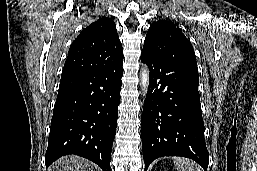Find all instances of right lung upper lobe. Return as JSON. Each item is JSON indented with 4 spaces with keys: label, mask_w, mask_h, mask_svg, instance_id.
I'll use <instances>...</instances> for the list:
<instances>
[{
    "label": "right lung upper lobe",
    "mask_w": 257,
    "mask_h": 171,
    "mask_svg": "<svg viewBox=\"0 0 257 171\" xmlns=\"http://www.w3.org/2000/svg\"><path fill=\"white\" fill-rule=\"evenodd\" d=\"M123 61L116 25L103 17L87 26L70 46L62 76L80 75L115 66Z\"/></svg>",
    "instance_id": "right-lung-upper-lobe-1"
}]
</instances>
